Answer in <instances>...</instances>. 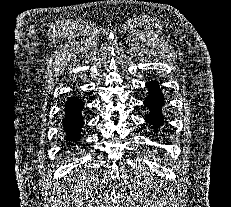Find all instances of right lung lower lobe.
Returning a JSON list of instances; mask_svg holds the SVG:
<instances>
[{"label":"right lung lower lobe","mask_w":231,"mask_h":207,"mask_svg":"<svg viewBox=\"0 0 231 207\" xmlns=\"http://www.w3.org/2000/svg\"><path fill=\"white\" fill-rule=\"evenodd\" d=\"M84 103L77 97L69 98L65 105V117L63 119V127L66 136L70 141L78 140L80 130L83 125L81 111Z\"/></svg>","instance_id":"1"}]
</instances>
